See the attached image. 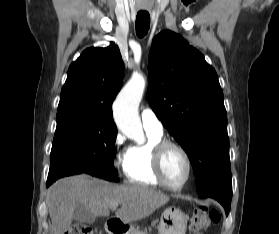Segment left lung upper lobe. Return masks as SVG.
Returning a JSON list of instances; mask_svg holds the SVG:
<instances>
[{
    "instance_id": "obj_1",
    "label": "left lung upper lobe",
    "mask_w": 279,
    "mask_h": 234,
    "mask_svg": "<svg viewBox=\"0 0 279 234\" xmlns=\"http://www.w3.org/2000/svg\"><path fill=\"white\" fill-rule=\"evenodd\" d=\"M147 98L193 166L200 197L232 190L227 114L218 76L204 56L166 30L153 39ZM219 201L226 214L230 201Z\"/></svg>"
}]
</instances>
